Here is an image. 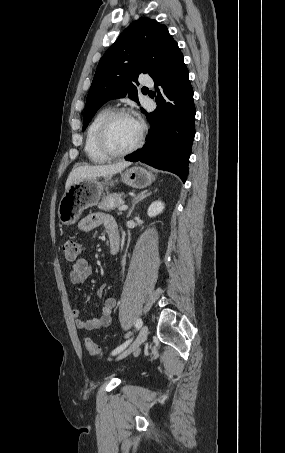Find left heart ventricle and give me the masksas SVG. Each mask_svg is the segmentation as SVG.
Returning a JSON list of instances; mask_svg holds the SVG:
<instances>
[{
    "label": "left heart ventricle",
    "instance_id": "b2bd125f",
    "mask_svg": "<svg viewBox=\"0 0 285 453\" xmlns=\"http://www.w3.org/2000/svg\"><path fill=\"white\" fill-rule=\"evenodd\" d=\"M140 133L139 123L127 116L117 118L109 131V142L117 151L131 147L138 139Z\"/></svg>",
    "mask_w": 285,
    "mask_h": 453
}]
</instances>
